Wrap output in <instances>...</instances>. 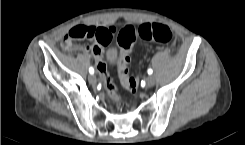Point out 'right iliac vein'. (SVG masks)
Returning a JSON list of instances; mask_svg holds the SVG:
<instances>
[{"label": "right iliac vein", "instance_id": "obj_1", "mask_svg": "<svg viewBox=\"0 0 245 145\" xmlns=\"http://www.w3.org/2000/svg\"><path fill=\"white\" fill-rule=\"evenodd\" d=\"M88 80H89L90 84H92V85H95L96 82H97L96 76H95L94 74H91V75L88 77Z\"/></svg>", "mask_w": 245, "mask_h": 145}]
</instances>
